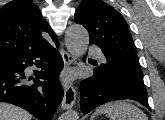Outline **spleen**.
Masks as SVG:
<instances>
[{
	"label": "spleen",
	"mask_w": 165,
	"mask_h": 120,
	"mask_svg": "<svg viewBox=\"0 0 165 120\" xmlns=\"http://www.w3.org/2000/svg\"><path fill=\"white\" fill-rule=\"evenodd\" d=\"M98 114H106L110 120H148L145 113L138 107L124 101L111 102L100 106L91 120Z\"/></svg>",
	"instance_id": "3e777b00"
}]
</instances>
